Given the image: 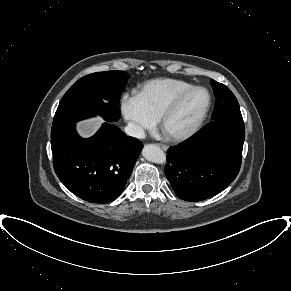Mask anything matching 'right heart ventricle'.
<instances>
[{"label":"right heart ventricle","instance_id":"obj_1","mask_svg":"<svg viewBox=\"0 0 291 291\" xmlns=\"http://www.w3.org/2000/svg\"><path fill=\"white\" fill-rule=\"evenodd\" d=\"M192 83L175 78H158L145 83L137 90V98L145 110L155 119L167 104Z\"/></svg>","mask_w":291,"mask_h":291}]
</instances>
